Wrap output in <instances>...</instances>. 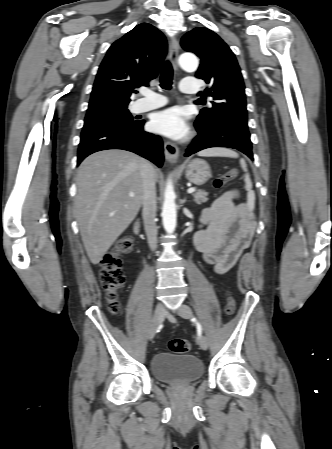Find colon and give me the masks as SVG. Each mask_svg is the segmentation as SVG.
<instances>
[{
  "mask_svg": "<svg viewBox=\"0 0 332 449\" xmlns=\"http://www.w3.org/2000/svg\"><path fill=\"white\" fill-rule=\"evenodd\" d=\"M239 177L236 169L227 171L213 182L218 189L224 187L228 182L237 180ZM132 239L129 236L121 237L115 244L113 250L107 253L101 260L99 278L103 289L106 292L109 302V309L112 313H117L120 309L119 293L124 284V274L122 272L121 255L132 249ZM235 310V300L231 295L226 298L225 313L232 315ZM191 348L188 340L182 338L172 339L169 342V349L175 354H185Z\"/></svg>",
  "mask_w": 332,
  "mask_h": 449,
  "instance_id": "1",
  "label": "colon"
}]
</instances>
